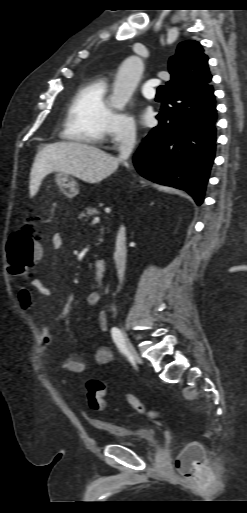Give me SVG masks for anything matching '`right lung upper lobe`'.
Instances as JSON below:
<instances>
[{"label":"right lung upper lobe","mask_w":247,"mask_h":513,"mask_svg":"<svg viewBox=\"0 0 247 513\" xmlns=\"http://www.w3.org/2000/svg\"><path fill=\"white\" fill-rule=\"evenodd\" d=\"M171 81L167 82L166 92L174 94L194 93L210 86L212 75L208 67V57L199 42H181L177 52L169 59Z\"/></svg>","instance_id":"cb5924a9"}]
</instances>
